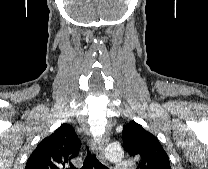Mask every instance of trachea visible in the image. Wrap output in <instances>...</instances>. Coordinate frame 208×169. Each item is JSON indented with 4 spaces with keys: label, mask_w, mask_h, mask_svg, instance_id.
Wrapping results in <instances>:
<instances>
[{
    "label": "trachea",
    "mask_w": 208,
    "mask_h": 169,
    "mask_svg": "<svg viewBox=\"0 0 208 169\" xmlns=\"http://www.w3.org/2000/svg\"><path fill=\"white\" fill-rule=\"evenodd\" d=\"M108 169L106 166H104L99 160H97L96 156L92 154L89 147L87 149V156L84 160L83 166L81 169ZM71 169H77L74 166H71Z\"/></svg>",
    "instance_id": "1"
}]
</instances>
